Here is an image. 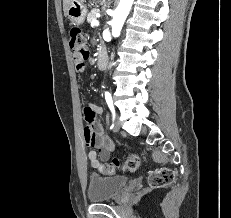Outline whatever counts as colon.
<instances>
[{"label":"colon","mask_w":231,"mask_h":218,"mask_svg":"<svg viewBox=\"0 0 231 218\" xmlns=\"http://www.w3.org/2000/svg\"><path fill=\"white\" fill-rule=\"evenodd\" d=\"M70 48L75 54L89 56L88 40L82 29L78 26H72L69 30ZM140 165V158L137 155H130L125 163L114 159L110 164L101 165L99 170L106 174H115L120 171L134 172ZM175 172L169 168H160L149 174L148 183L152 188H162L173 183Z\"/></svg>","instance_id":"colon-1"}]
</instances>
